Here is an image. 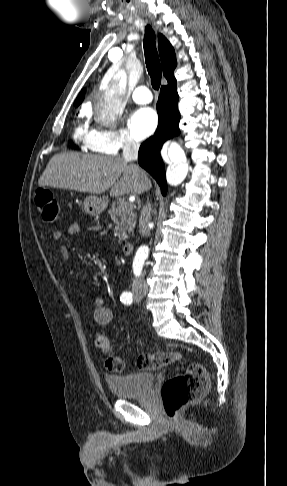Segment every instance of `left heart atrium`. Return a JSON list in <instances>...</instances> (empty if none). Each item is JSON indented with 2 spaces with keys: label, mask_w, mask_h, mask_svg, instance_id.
I'll return each instance as SVG.
<instances>
[{
  "label": "left heart atrium",
  "mask_w": 287,
  "mask_h": 486,
  "mask_svg": "<svg viewBox=\"0 0 287 486\" xmlns=\"http://www.w3.org/2000/svg\"><path fill=\"white\" fill-rule=\"evenodd\" d=\"M157 114L149 107L136 109L128 120L129 128L133 136L138 139H144L153 133L157 126Z\"/></svg>",
  "instance_id": "39dd6f15"
}]
</instances>
